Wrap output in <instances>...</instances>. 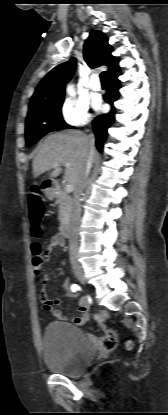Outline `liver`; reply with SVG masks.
Masks as SVG:
<instances>
[{
  "label": "liver",
  "mask_w": 168,
  "mask_h": 415,
  "mask_svg": "<svg viewBox=\"0 0 168 415\" xmlns=\"http://www.w3.org/2000/svg\"><path fill=\"white\" fill-rule=\"evenodd\" d=\"M89 157V138L79 130H68L49 135L36 157L33 160V174L35 177L54 169L50 177L54 178L62 172V165L66 163L69 167L65 169V181L75 188L80 175L83 172ZM98 153L94 149L92 161H96ZM58 164V166H55Z\"/></svg>",
  "instance_id": "6515ba94"
}]
</instances>
